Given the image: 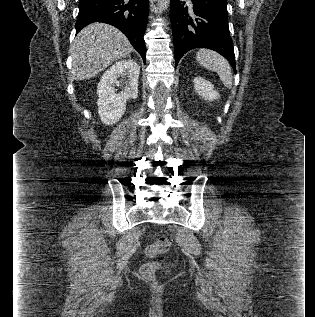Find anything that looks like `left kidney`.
Wrapping results in <instances>:
<instances>
[{"instance_id": "left-kidney-1", "label": "left kidney", "mask_w": 315, "mask_h": 317, "mask_svg": "<svg viewBox=\"0 0 315 317\" xmlns=\"http://www.w3.org/2000/svg\"><path fill=\"white\" fill-rule=\"evenodd\" d=\"M193 83L195 91L204 100L214 101L219 99V93L216 90H214V86L212 85V83H210L206 79H203L202 77H196L193 80Z\"/></svg>"}]
</instances>
